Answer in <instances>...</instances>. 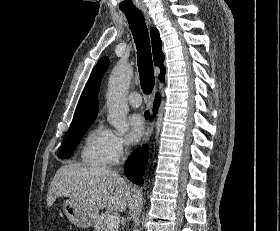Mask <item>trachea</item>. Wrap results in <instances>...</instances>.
Listing matches in <instances>:
<instances>
[{
    "mask_svg": "<svg viewBox=\"0 0 280 231\" xmlns=\"http://www.w3.org/2000/svg\"><path fill=\"white\" fill-rule=\"evenodd\" d=\"M137 46V61L143 93L149 94L154 88L155 78L150 49V39L142 12L138 9L124 11Z\"/></svg>",
    "mask_w": 280,
    "mask_h": 231,
    "instance_id": "trachea-1",
    "label": "trachea"
}]
</instances>
